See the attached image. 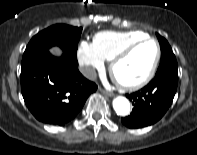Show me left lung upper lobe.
Returning a JSON list of instances; mask_svg holds the SVG:
<instances>
[{
	"label": "left lung upper lobe",
	"mask_w": 197,
	"mask_h": 155,
	"mask_svg": "<svg viewBox=\"0 0 197 155\" xmlns=\"http://www.w3.org/2000/svg\"><path fill=\"white\" fill-rule=\"evenodd\" d=\"M156 35L161 49V61L156 75H160L162 73L178 74L177 61L169 43L159 34Z\"/></svg>",
	"instance_id": "left-lung-upper-lobe-1"
}]
</instances>
